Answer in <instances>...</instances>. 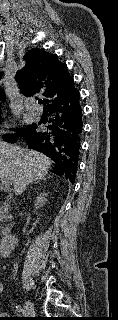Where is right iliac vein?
<instances>
[{
    "label": "right iliac vein",
    "mask_w": 118,
    "mask_h": 320,
    "mask_svg": "<svg viewBox=\"0 0 118 320\" xmlns=\"http://www.w3.org/2000/svg\"><path fill=\"white\" fill-rule=\"evenodd\" d=\"M25 311L27 315H32L34 313V305L29 300L25 303Z\"/></svg>",
    "instance_id": "obj_1"
}]
</instances>
